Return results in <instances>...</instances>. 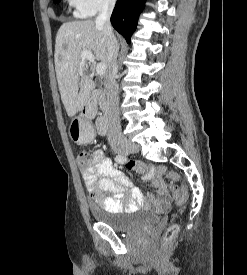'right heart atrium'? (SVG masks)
<instances>
[{"label":"right heart atrium","instance_id":"1","mask_svg":"<svg viewBox=\"0 0 247 275\" xmlns=\"http://www.w3.org/2000/svg\"><path fill=\"white\" fill-rule=\"evenodd\" d=\"M116 0H73L75 13L80 17H88L99 11L111 9Z\"/></svg>","mask_w":247,"mask_h":275}]
</instances>
